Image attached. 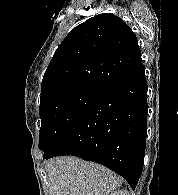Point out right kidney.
Returning <instances> with one entry per match:
<instances>
[{
    "label": "right kidney",
    "mask_w": 178,
    "mask_h": 195,
    "mask_svg": "<svg viewBox=\"0 0 178 195\" xmlns=\"http://www.w3.org/2000/svg\"><path fill=\"white\" fill-rule=\"evenodd\" d=\"M110 195H129V192L124 189H118L114 192H112Z\"/></svg>",
    "instance_id": "right-kidney-1"
}]
</instances>
